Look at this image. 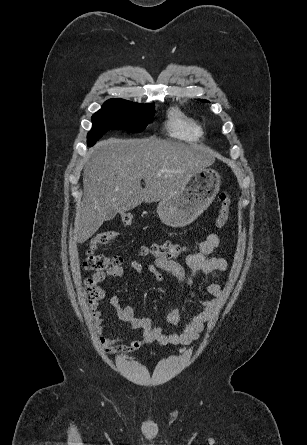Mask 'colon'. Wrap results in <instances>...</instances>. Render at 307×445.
Listing matches in <instances>:
<instances>
[{
	"instance_id": "colon-1",
	"label": "colon",
	"mask_w": 307,
	"mask_h": 445,
	"mask_svg": "<svg viewBox=\"0 0 307 445\" xmlns=\"http://www.w3.org/2000/svg\"><path fill=\"white\" fill-rule=\"evenodd\" d=\"M221 207L215 218V225L217 227L223 226L229 218L230 215V201L228 199L227 193L222 192L221 196ZM122 222L124 225L129 226L133 222V216L131 214H126L122 217ZM118 233L115 231L107 230L98 233L91 241L89 249L86 252L85 258L83 260V267L87 270L94 271L96 273L105 272L110 268L120 266L122 264V258L119 256H108L102 253H95V250L100 246H105L112 242ZM184 251V247L174 243L172 241H163L159 243H154L149 246H143L140 250L143 256H154L156 258L171 259L177 257ZM85 292L90 300V302H95L99 296V291L95 286L92 279H89L85 286Z\"/></svg>"
}]
</instances>
